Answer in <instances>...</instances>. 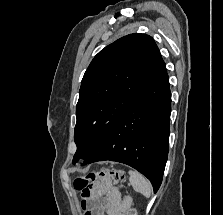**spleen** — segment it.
Instances as JSON below:
<instances>
[{
	"instance_id": "obj_1",
	"label": "spleen",
	"mask_w": 223,
	"mask_h": 215,
	"mask_svg": "<svg viewBox=\"0 0 223 215\" xmlns=\"http://www.w3.org/2000/svg\"><path fill=\"white\" fill-rule=\"evenodd\" d=\"M129 181L131 185H133L135 191H140V193H143V195H146V197H150L151 195V185L148 181V179H145L139 171H129Z\"/></svg>"
}]
</instances>
